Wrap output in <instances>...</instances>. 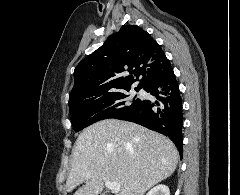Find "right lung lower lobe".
<instances>
[{
	"label": "right lung lower lobe",
	"mask_w": 240,
	"mask_h": 195,
	"mask_svg": "<svg viewBox=\"0 0 240 195\" xmlns=\"http://www.w3.org/2000/svg\"><path fill=\"white\" fill-rule=\"evenodd\" d=\"M144 90L152 95L153 99L142 100L139 105L115 119L131 121L169 137L182 158V101L173 70Z\"/></svg>",
	"instance_id": "right-lung-lower-lobe-1"
}]
</instances>
